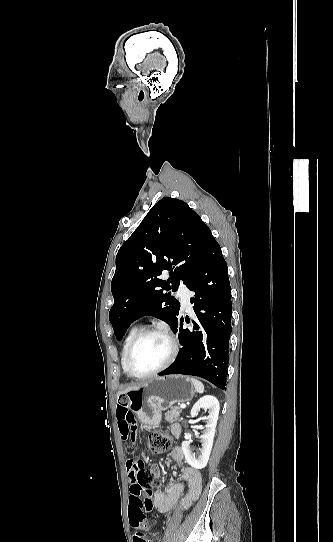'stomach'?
Returning <instances> with one entry per match:
<instances>
[{
    "label": "stomach",
    "mask_w": 333,
    "mask_h": 542,
    "mask_svg": "<svg viewBox=\"0 0 333 542\" xmlns=\"http://www.w3.org/2000/svg\"><path fill=\"white\" fill-rule=\"evenodd\" d=\"M196 390L187 376H161L144 382L138 390L118 396L125 400L128 410L135 414L143 426L156 428L162 418V410L171 408L173 404L190 402Z\"/></svg>",
    "instance_id": "0dacf381"
}]
</instances>
